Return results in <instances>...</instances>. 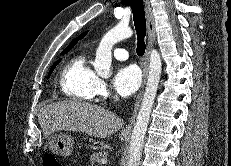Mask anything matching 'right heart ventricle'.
<instances>
[{
    "label": "right heart ventricle",
    "mask_w": 231,
    "mask_h": 166,
    "mask_svg": "<svg viewBox=\"0 0 231 166\" xmlns=\"http://www.w3.org/2000/svg\"><path fill=\"white\" fill-rule=\"evenodd\" d=\"M97 75L88 64L87 55L71 57L60 73L62 93L72 100L90 101L95 96Z\"/></svg>",
    "instance_id": "obj_1"
}]
</instances>
